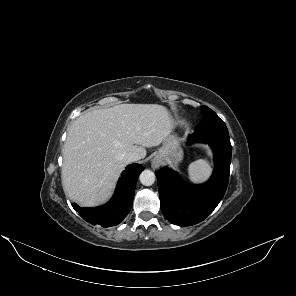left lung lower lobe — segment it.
I'll list each match as a JSON object with an SVG mask.
<instances>
[{
    "mask_svg": "<svg viewBox=\"0 0 296 296\" xmlns=\"http://www.w3.org/2000/svg\"><path fill=\"white\" fill-rule=\"evenodd\" d=\"M190 142H204L214 153V172L205 184L187 185L163 167L155 172L164 216L173 224L191 226L208 217L222 200L229 181L232 147L228 130L194 132Z\"/></svg>",
    "mask_w": 296,
    "mask_h": 296,
    "instance_id": "left-lung-lower-lobe-1",
    "label": "left lung lower lobe"
}]
</instances>
